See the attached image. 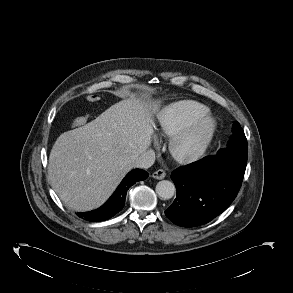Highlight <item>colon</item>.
Masks as SVG:
<instances>
[{
  "label": "colon",
  "instance_id": "5ec220e1",
  "mask_svg": "<svg viewBox=\"0 0 293 293\" xmlns=\"http://www.w3.org/2000/svg\"><path fill=\"white\" fill-rule=\"evenodd\" d=\"M100 99V96L96 93H90L86 96V100L88 102H97ZM89 117L88 116H79L76 117L73 121H72V126L73 127H80L82 125H84L87 121H88Z\"/></svg>",
  "mask_w": 293,
  "mask_h": 293
}]
</instances>
